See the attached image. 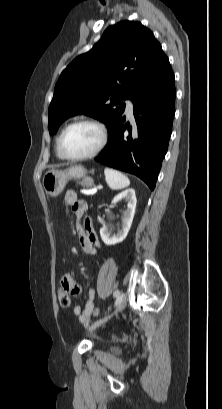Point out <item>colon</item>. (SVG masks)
<instances>
[{
    "mask_svg": "<svg viewBox=\"0 0 222 409\" xmlns=\"http://www.w3.org/2000/svg\"><path fill=\"white\" fill-rule=\"evenodd\" d=\"M69 289H70V286L64 283L58 291L59 304L64 308H68L71 305V297L69 296V293H68ZM93 313H94L95 318L102 317V312L98 310V307H95V309L93 310Z\"/></svg>",
    "mask_w": 222,
    "mask_h": 409,
    "instance_id": "1",
    "label": "colon"
}]
</instances>
